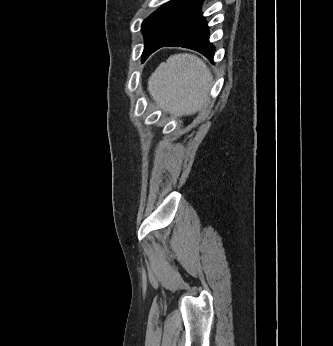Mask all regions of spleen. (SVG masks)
<instances>
[{
    "label": "spleen",
    "instance_id": "1",
    "mask_svg": "<svg viewBox=\"0 0 333 346\" xmlns=\"http://www.w3.org/2000/svg\"><path fill=\"white\" fill-rule=\"evenodd\" d=\"M212 75L205 63L190 54H177L161 63L148 80V91L165 111L185 115L207 101Z\"/></svg>",
    "mask_w": 333,
    "mask_h": 346
}]
</instances>
